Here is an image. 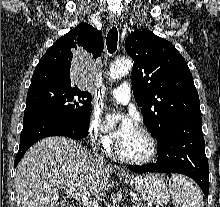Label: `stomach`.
I'll list each match as a JSON object with an SVG mask.
<instances>
[{
    "label": "stomach",
    "instance_id": "0dacf381",
    "mask_svg": "<svg viewBox=\"0 0 220 207\" xmlns=\"http://www.w3.org/2000/svg\"><path fill=\"white\" fill-rule=\"evenodd\" d=\"M122 179L126 184L136 190L143 199L149 202L165 204L169 201L170 186L166 184L165 180L160 175H122Z\"/></svg>",
    "mask_w": 220,
    "mask_h": 207
}]
</instances>
